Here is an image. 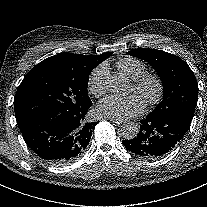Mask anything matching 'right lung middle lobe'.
<instances>
[{"label":"right lung middle lobe","mask_w":207,"mask_h":207,"mask_svg":"<svg viewBox=\"0 0 207 207\" xmlns=\"http://www.w3.org/2000/svg\"><path fill=\"white\" fill-rule=\"evenodd\" d=\"M89 75L68 64L40 62L17 89L16 121L45 112L71 117L88 110L92 105L87 93Z\"/></svg>","instance_id":"1"}]
</instances>
